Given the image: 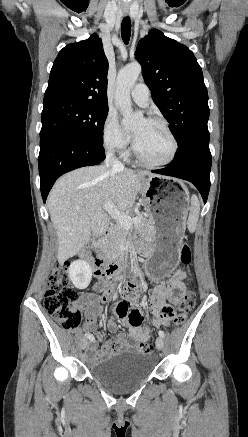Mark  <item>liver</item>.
<instances>
[{"mask_svg":"<svg viewBox=\"0 0 248 437\" xmlns=\"http://www.w3.org/2000/svg\"><path fill=\"white\" fill-rule=\"evenodd\" d=\"M146 176L157 175L90 166L58 179L48 196L47 206L58 237L59 263L79 253L91 236H102L110 220L103 209L107 202H112L119 211L130 209L137 194L144 191Z\"/></svg>","mask_w":248,"mask_h":437,"instance_id":"liver-1","label":"liver"}]
</instances>
